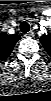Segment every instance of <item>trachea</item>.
<instances>
[{"mask_svg":"<svg viewBox=\"0 0 51 101\" xmlns=\"http://www.w3.org/2000/svg\"><path fill=\"white\" fill-rule=\"evenodd\" d=\"M29 30H30V25L26 21H23L20 24V31L22 33H27Z\"/></svg>","mask_w":51,"mask_h":101,"instance_id":"obj_1","label":"trachea"}]
</instances>
